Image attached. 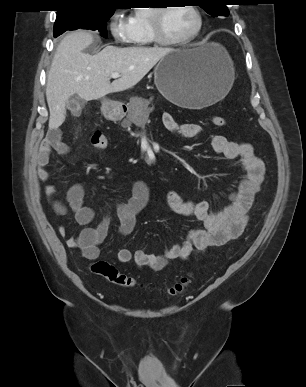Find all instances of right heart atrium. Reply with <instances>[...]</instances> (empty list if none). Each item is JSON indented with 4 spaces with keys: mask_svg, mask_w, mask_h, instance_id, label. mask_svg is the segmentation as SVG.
Wrapping results in <instances>:
<instances>
[{
    "mask_svg": "<svg viewBox=\"0 0 306 387\" xmlns=\"http://www.w3.org/2000/svg\"><path fill=\"white\" fill-rule=\"evenodd\" d=\"M109 30L112 37L118 43H128L131 38V28L128 21L113 17L109 23Z\"/></svg>",
    "mask_w": 306,
    "mask_h": 387,
    "instance_id": "d8ad5b80",
    "label": "right heart atrium"
}]
</instances>
